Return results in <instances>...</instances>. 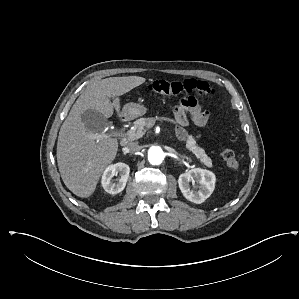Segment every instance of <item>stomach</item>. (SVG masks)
<instances>
[{
    "mask_svg": "<svg viewBox=\"0 0 299 299\" xmlns=\"http://www.w3.org/2000/svg\"><path fill=\"white\" fill-rule=\"evenodd\" d=\"M123 115L127 119H135L144 115L147 112V108L144 105L137 103H127L123 107Z\"/></svg>",
    "mask_w": 299,
    "mask_h": 299,
    "instance_id": "1",
    "label": "stomach"
}]
</instances>
